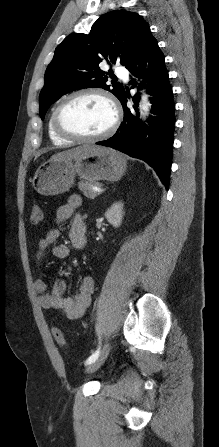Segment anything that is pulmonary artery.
Masks as SVG:
<instances>
[{
	"mask_svg": "<svg viewBox=\"0 0 219 447\" xmlns=\"http://www.w3.org/2000/svg\"><path fill=\"white\" fill-rule=\"evenodd\" d=\"M115 73L118 76H121V77H124V78H127V75H128L126 69L123 66H121V65H117L115 67Z\"/></svg>",
	"mask_w": 219,
	"mask_h": 447,
	"instance_id": "pulmonary-artery-1",
	"label": "pulmonary artery"
}]
</instances>
